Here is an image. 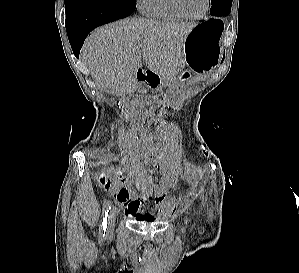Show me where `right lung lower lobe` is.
Segmentation results:
<instances>
[{"mask_svg": "<svg viewBox=\"0 0 299 273\" xmlns=\"http://www.w3.org/2000/svg\"><path fill=\"white\" fill-rule=\"evenodd\" d=\"M136 2L120 0H67L66 31L78 58L87 35L96 27L129 16Z\"/></svg>", "mask_w": 299, "mask_h": 273, "instance_id": "1", "label": "right lung lower lobe"}]
</instances>
